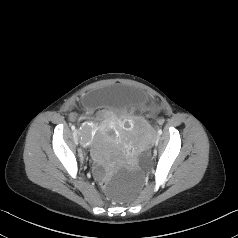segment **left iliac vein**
<instances>
[{
	"label": "left iliac vein",
	"instance_id": "obj_1",
	"mask_svg": "<svg viewBox=\"0 0 238 238\" xmlns=\"http://www.w3.org/2000/svg\"><path fill=\"white\" fill-rule=\"evenodd\" d=\"M159 140H160V136L157 134L156 137H155V143H156V144H155V147H158V145H159V142H158V141H159Z\"/></svg>",
	"mask_w": 238,
	"mask_h": 238
}]
</instances>
